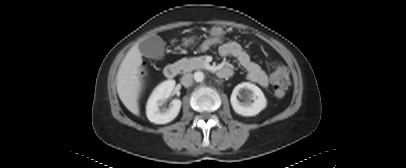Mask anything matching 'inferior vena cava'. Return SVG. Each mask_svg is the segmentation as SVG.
<instances>
[{
  "instance_id": "inferior-vena-cava-1",
  "label": "inferior vena cava",
  "mask_w": 406,
  "mask_h": 168,
  "mask_svg": "<svg viewBox=\"0 0 406 168\" xmlns=\"http://www.w3.org/2000/svg\"><path fill=\"white\" fill-rule=\"evenodd\" d=\"M192 82H193V75L191 73H187L184 76H182V78H181V83L185 87L191 86Z\"/></svg>"
}]
</instances>
